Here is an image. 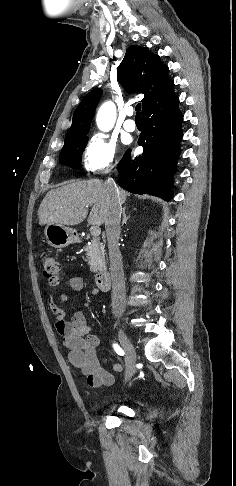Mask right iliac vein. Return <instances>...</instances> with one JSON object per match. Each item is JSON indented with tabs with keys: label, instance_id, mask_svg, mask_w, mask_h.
Segmentation results:
<instances>
[{
	"label": "right iliac vein",
	"instance_id": "63e3f726",
	"mask_svg": "<svg viewBox=\"0 0 236 486\" xmlns=\"http://www.w3.org/2000/svg\"><path fill=\"white\" fill-rule=\"evenodd\" d=\"M119 340L126 352V377L125 380L128 381L136 372V352L135 349L127 337L126 333L122 328H119L118 331Z\"/></svg>",
	"mask_w": 236,
	"mask_h": 486
}]
</instances>
